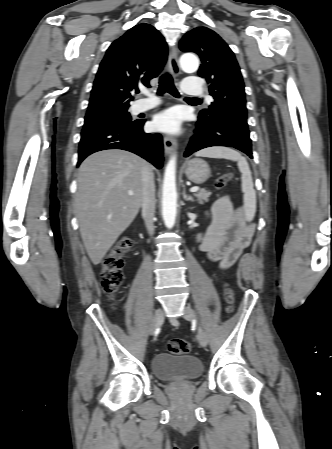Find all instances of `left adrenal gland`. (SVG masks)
<instances>
[{
  "label": "left adrenal gland",
  "instance_id": "left-adrenal-gland-1",
  "mask_svg": "<svg viewBox=\"0 0 332 449\" xmlns=\"http://www.w3.org/2000/svg\"><path fill=\"white\" fill-rule=\"evenodd\" d=\"M183 198H184V200H186V201H194V198L192 197V196H188L187 194H186V190H185V187H184V189H183Z\"/></svg>",
  "mask_w": 332,
  "mask_h": 449
}]
</instances>
